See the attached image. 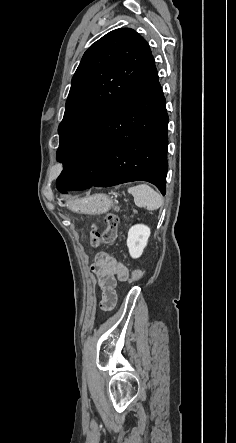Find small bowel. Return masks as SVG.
<instances>
[{"label": "small bowel", "instance_id": "obj_1", "mask_svg": "<svg viewBox=\"0 0 236 443\" xmlns=\"http://www.w3.org/2000/svg\"><path fill=\"white\" fill-rule=\"evenodd\" d=\"M91 269L99 278L101 307L104 310H110L117 300L116 281H126L129 276L128 269L120 261L104 252L97 255Z\"/></svg>", "mask_w": 236, "mask_h": 443}]
</instances>
